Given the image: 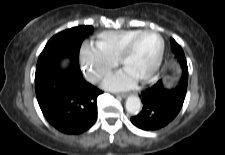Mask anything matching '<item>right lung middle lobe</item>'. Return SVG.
<instances>
[{
    "instance_id": "dd1d6c3e",
    "label": "right lung middle lobe",
    "mask_w": 225,
    "mask_h": 155,
    "mask_svg": "<svg viewBox=\"0 0 225 155\" xmlns=\"http://www.w3.org/2000/svg\"><path fill=\"white\" fill-rule=\"evenodd\" d=\"M92 31V26H78L53 36L38 58L35 82L55 68L62 57H70L78 63L81 43Z\"/></svg>"
}]
</instances>
